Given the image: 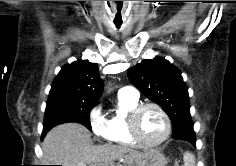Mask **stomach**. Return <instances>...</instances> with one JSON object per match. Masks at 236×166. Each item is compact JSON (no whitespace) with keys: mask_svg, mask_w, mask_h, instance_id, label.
<instances>
[{"mask_svg":"<svg viewBox=\"0 0 236 166\" xmlns=\"http://www.w3.org/2000/svg\"><path fill=\"white\" fill-rule=\"evenodd\" d=\"M124 164V163H123ZM167 160L165 156L157 150H149L144 153L141 159L136 163L117 166H166Z\"/></svg>","mask_w":236,"mask_h":166,"instance_id":"stomach-1","label":"stomach"}]
</instances>
